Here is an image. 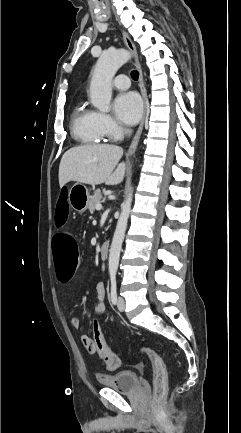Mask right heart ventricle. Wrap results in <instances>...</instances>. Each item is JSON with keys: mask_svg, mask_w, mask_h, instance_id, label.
Here are the masks:
<instances>
[{"mask_svg": "<svg viewBox=\"0 0 241 433\" xmlns=\"http://www.w3.org/2000/svg\"><path fill=\"white\" fill-rule=\"evenodd\" d=\"M71 132L77 141L86 144L100 143L106 137L99 125L98 112L82 102L73 110Z\"/></svg>", "mask_w": 241, "mask_h": 433, "instance_id": "obj_1", "label": "right heart ventricle"}]
</instances>
